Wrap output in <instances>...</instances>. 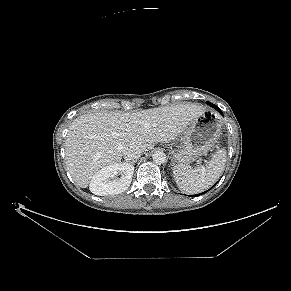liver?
Returning a JSON list of instances; mask_svg holds the SVG:
<instances>
[{
  "mask_svg": "<svg viewBox=\"0 0 291 291\" xmlns=\"http://www.w3.org/2000/svg\"><path fill=\"white\" fill-rule=\"evenodd\" d=\"M205 111L200 104L180 103L133 113L81 115L69 126L64 143L67 169L75 183L86 188L99 170L121 160L125 148L146 152L156 143L174 140Z\"/></svg>",
  "mask_w": 291,
  "mask_h": 291,
  "instance_id": "1",
  "label": "liver"
}]
</instances>
